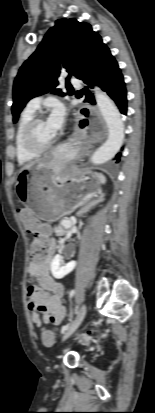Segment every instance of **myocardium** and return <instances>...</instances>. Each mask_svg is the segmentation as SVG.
Here are the masks:
<instances>
[{
  "mask_svg": "<svg viewBox=\"0 0 155 413\" xmlns=\"http://www.w3.org/2000/svg\"><path fill=\"white\" fill-rule=\"evenodd\" d=\"M44 121L42 116L33 117L26 125L23 133L25 148L32 154L39 155L51 149L55 143V138L47 144H39L35 139V129L39 122Z\"/></svg>",
  "mask_w": 155,
  "mask_h": 413,
  "instance_id": "f54148a6",
  "label": "myocardium"
}]
</instances>
